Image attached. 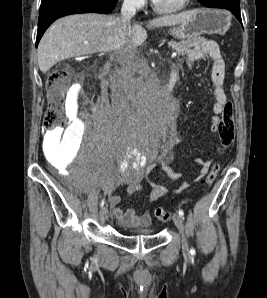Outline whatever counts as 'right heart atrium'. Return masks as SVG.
<instances>
[{
  "mask_svg": "<svg viewBox=\"0 0 267 298\" xmlns=\"http://www.w3.org/2000/svg\"><path fill=\"white\" fill-rule=\"evenodd\" d=\"M129 6L134 8H141L145 5L146 0H124Z\"/></svg>",
  "mask_w": 267,
  "mask_h": 298,
  "instance_id": "d8ad5b80",
  "label": "right heart atrium"
}]
</instances>
